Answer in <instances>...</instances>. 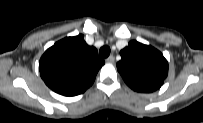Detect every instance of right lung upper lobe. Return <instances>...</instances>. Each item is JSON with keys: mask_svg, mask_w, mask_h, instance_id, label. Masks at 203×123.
I'll use <instances>...</instances> for the list:
<instances>
[{"mask_svg": "<svg viewBox=\"0 0 203 123\" xmlns=\"http://www.w3.org/2000/svg\"><path fill=\"white\" fill-rule=\"evenodd\" d=\"M104 61L83 35L66 37L46 50L39 61L45 84L64 96L82 94L90 87Z\"/></svg>", "mask_w": 203, "mask_h": 123, "instance_id": "cb5924a9", "label": "right lung upper lobe"}]
</instances>
